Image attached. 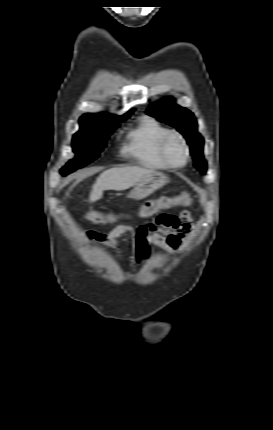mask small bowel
<instances>
[{
	"mask_svg": "<svg viewBox=\"0 0 273 430\" xmlns=\"http://www.w3.org/2000/svg\"><path fill=\"white\" fill-rule=\"evenodd\" d=\"M191 232L190 215L187 212H183L178 218L162 215L138 228L118 225L107 233H89L86 238L115 248L118 252V257H121L117 239L125 234H130L136 242L137 261L142 264L148 260L152 245L174 254L181 248L182 240L189 236Z\"/></svg>",
	"mask_w": 273,
	"mask_h": 430,
	"instance_id": "c3829d8e",
	"label": "small bowel"
}]
</instances>
